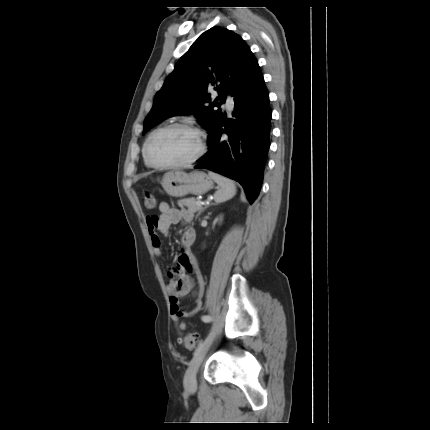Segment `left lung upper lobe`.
I'll return each instance as SVG.
<instances>
[{"label":"left lung upper lobe","instance_id":"1","mask_svg":"<svg viewBox=\"0 0 430 430\" xmlns=\"http://www.w3.org/2000/svg\"><path fill=\"white\" fill-rule=\"evenodd\" d=\"M260 68L245 41L236 33L214 26L204 32L179 59L154 98L151 111L144 121V132L168 117L193 114L209 130L222 114L214 110L233 96L240 84L250 82ZM219 84L214 102L208 89Z\"/></svg>","mask_w":430,"mask_h":430}]
</instances>
